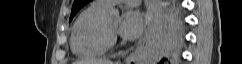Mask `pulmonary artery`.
I'll use <instances>...</instances> for the list:
<instances>
[{
    "label": "pulmonary artery",
    "instance_id": "pulmonary-artery-1",
    "mask_svg": "<svg viewBox=\"0 0 242 64\" xmlns=\"http://www.w3.org/2000/svg\"><path fill=\"white\" fill-rule=\"evenodd\" d=\"M94 3L104 8H109L112 5H115L117 3H127L131 6H137L139 5L140 1L139 0H96Z\"/></svg>",
    "mask_w": 242,
    "mask_h": 64
}]
</instances>
